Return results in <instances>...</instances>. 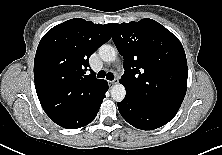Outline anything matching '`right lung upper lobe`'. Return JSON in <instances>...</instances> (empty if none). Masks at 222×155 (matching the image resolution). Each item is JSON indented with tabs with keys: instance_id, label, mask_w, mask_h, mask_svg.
Here are the masks:
<instances>
[{
	"instance_id": "obj_1",
	"label": "right lung upper lobe",
	"mask_w": 222,
	"mask_h": 155,
	"mask_svg": "<svg viewBox=\"0 0 222 155\" xmlns=\"http://www.w3.org/2000/svg\"><path fill=\"white\" fill-rule=\"evenodd\" d=\"M110 38L109 24L81 18L65 21L43 36L34 60L35 88L42 107L64 112L104 83L86 71L89 57Z\"/></svg>"
}]
</instances>
